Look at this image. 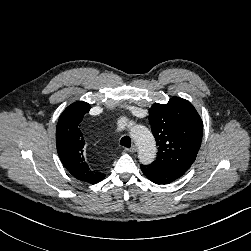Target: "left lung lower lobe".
Instances as JSON below:
<instances>
[{"label":"left lung lower lobe","instance_id":"left-lung-lower-lobe-1","mask_svg":"<svg viewBox=\"0 0 251 251\" xmlns=\"http://www.w3.org/2000/svg\"><path fill=\"white\" fill-rule=\"evenodd\" d=\"M141 170L146 175V177L157 184L171 183L183 175L179 172L154 167L152 165H141Z\"/></svg>","mask_w":251,"mask_h":251}]
</instances>
